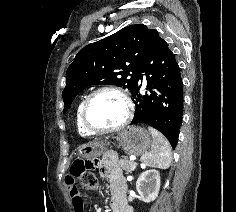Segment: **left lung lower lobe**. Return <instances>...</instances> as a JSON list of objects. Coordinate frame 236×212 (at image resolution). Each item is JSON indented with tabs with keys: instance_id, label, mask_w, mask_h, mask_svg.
Listing matches in <instances>:
<instances>
[{
	"instance_id": "obj_1",
	"label": "left lung lower lobe",
	"mask_w": 236,
	"mask_h": 212,
	"mask_svg": "<svg viewBox=\"0 0 236 212\" xmlns=\"http://www.w3.org/2000/svg\"><path fill=\"white\" fill-rule=\"evenodd\" d=\"M142 73L147 77L149 90L145 95L140 94ZM132 96L136 109L131 124H149L175 148L183 115V83L174 53L156 30L151 32Z\"/></svg>"
}]
</instances>
